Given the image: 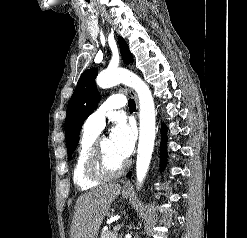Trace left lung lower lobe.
Returning <instances> with one entry per match:
<instances>
[{"label": "left lung lower lobe", "mask_w": 247, "mask_h": 238, "mask_svg": "<svg viewBox=\"0 0 247 238\" xmlns=\"http://www.w3.org/2000/svg\"><path fill=\"white\" fill-rule=\"evenodd\" d=\"M166 128L165 126H162V138H161V164L160 167L164 168L165 166V162H166V141H167V137H166ZM128 177L131 176V172L127 175Z\"/></svg>", "instance_id": "1"}]
</instances>
